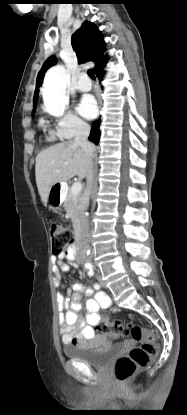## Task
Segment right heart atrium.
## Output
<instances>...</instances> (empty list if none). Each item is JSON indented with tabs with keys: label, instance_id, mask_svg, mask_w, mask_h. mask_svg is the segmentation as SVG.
<instances>
[{
	"label": "right heart atrium",
	"instance_id": "1",
	"mask_svg": "<svg viewBox=\"0 0 187 415\" xmlns=\"http://www.w3.org/2000/svg\"><path fill=\"white\" fill-rule=\"evenodd\" d=\"M87 130V123L70 111L56 119V131L61 139H71Z\"/></svg>",
	"mask_w": 187,
	"mask_h": 415
}]
</instances>
